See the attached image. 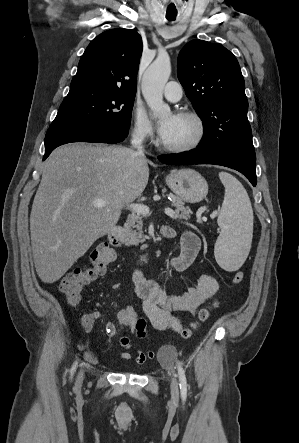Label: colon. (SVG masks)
Listing matches in <instances>:
<instances>
[{
  "instance_id": "5ec220e1",
  "label": "colon",
  "mask_w": 299,
  "mask_h": 443,
  "mask_svg": "<svg viewBox=\"0 0 299 443\" xmlns=\"http://www.w3.org/2000/svg\"><path fill=\"white\" fill-rule=\"evenodd\" d=\"M115 258L116 253L112 246L108 243H101L92 251L89 265L68 272L62 278L59 285L60 291L66 296L68 303L70 305L78 304L84 287L98 276L103 275L112 265ZM244 278V272L237 271L232 278V282L238 285L243 282ZM217 304V302H214L212 307H215ZM212 307L203 308L199 312L197 320L180 331L179 337L182 339L191 337L198 324L208 318ZM83 322L85 325L89 323L86 317ZM143 324L141 315L131 306H125L117 312V326L121 329L129 330L135 337L141 333ZM172 356L173 349L171 347H165L160 351L161 358L169 360Z\"/></svg>"
}]
</instances>
